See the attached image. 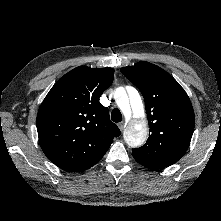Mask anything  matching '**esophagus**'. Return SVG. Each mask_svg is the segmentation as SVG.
I'll list each match as a JSON object with an SVG mask.
<instances>
[{"label": "esophagus", "instance_id": "obj_1", "mask_svg": "<svg viewBox=\"0 0 221 221\" xmlns=\"http://www.w3.org/2000/svg\"><path fill=\"white\" fill-rule=\"evenodd\" d=\"M118 127H119V129H120L121 131H123L124 128H125V123H124V122H120V123L118 124Z\"/></svg>", "mask_w": 221, "mask_h": 221}]
</instances>
